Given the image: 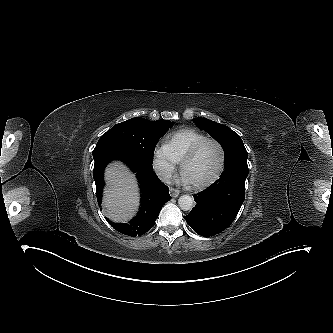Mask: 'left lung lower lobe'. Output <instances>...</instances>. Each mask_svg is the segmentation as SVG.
<instances>
[{
  "mask_svg": "<svg viewBox=\"0 0 333 333\" xmlns=\"http://www.w3.org/2000/svg\"><path fill=\"white\" fill-rule=\"evenodd\" d=\"M193 197L197 204L184 219L196 233L209 237L224 231L233 222L245 199V184L218 179Z\"/></svg>",
  "mask_w": 333,
  "mask_h": 333,
  "instance_id": "0a47b994",
  "label": "left lung lower lobe"
}]
</instances>
